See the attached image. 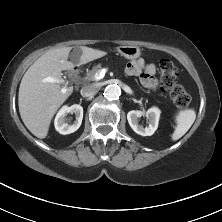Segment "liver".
Returning a JSON list of instances; mask_svg holds the SVG:
<instances>
[{
  "instance_id": "obj_1",
  "label": "liver",
  "mask_w": 222,
  "mask_h": 222,
  "mask_svg": "<svg viewBox=\"0 0 222 222\" xmlns=\"http://www.w3.org/2000/svg\"><path fill=\"white\" fill-rule=\"evenodd\" d=\"M76 63L68 61L71 47H62L46 52L38 58L24 74L18 95V106L21 119L27 129L38 138L48 134L51 120L58 108L72 94L73 87L62 92V71L73 69L101 58L105 51L79 47ZM53 77L57 82H47L45 78Z\"/></svg>"
}]
</instances>
